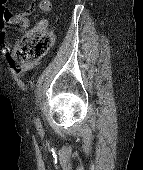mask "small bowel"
I'll return each mask as SVG.
<instances>
[{"label": "small bowel", "mask_w": 143, "mask_h": 170, "mask_svg": "<svg viewBox=\"0 0 143 170\" xmlns=\"http://www.w3.org/2000/svg\"><path fill=\"white\" fill-rule=\"evenodd\" d=\"M34 10L35 5L31 3L24 11L15 13L10 20L0 22V42L4 45V55L13 73L18 76L31 71L38 64V61L20 63L16 60L14 53L15 47L8 43L9 27L19 25L21 31L25 30L29 26L28 18L33 15Z\"/></svg>", "instance_id": "1"}]
</instances>
